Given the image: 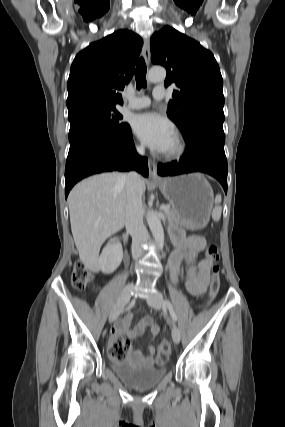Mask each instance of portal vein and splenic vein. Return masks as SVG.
<instances>
[{
    "instance_id": "18ae733b",
    "label": "portal vein and splenic vein",
    "mask_w": 285,
    "mask_h": 427,
    "mask_svg": "<svg viewBox=\"0 0 285 427\" xmlns=\"http://www.w3.org/2000/svg\"><path fill=\"white\" fill-rule=\"evenodd\" d=\"M168 208H169V207H168V206H166V205H162V206H161V209H162V210H168Z\"/></svg>"
}]
</instances>
